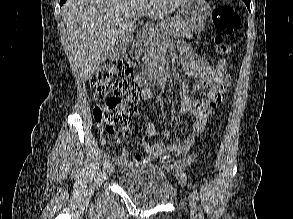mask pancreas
<instances>
[{"label":"pancreas","instance_id":"cf45deb5","mask_svg":"<svg viewBox=\"0 0 293 219\" xmlns=\"http://www.w3.org/2000/svg\"><path fill=\"white\" fill-rule=\"evenodd\" d=\"M192 37L191 30L186 22L176 15L165 19L157 27L149 31V37L144 44V63L146 68L156 69L160 64V55L169 37Z\"/></svg>","mask_w":293,"mask_h":219}]
</instances>
